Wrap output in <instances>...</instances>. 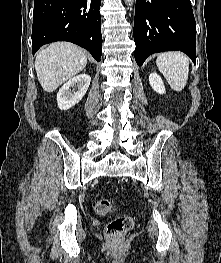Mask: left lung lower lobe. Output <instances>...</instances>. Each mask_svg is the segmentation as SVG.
Here are the masks:
<instances>
[{
	"label": "left lung lower lobe",
	"instance_id": "1",
	"mask_svg": "<svg viewBox=\"0 0 221 263\" xmlns=\"http://www.w3.org/2000/svg\"><path fill=\"white\" fill-rule=\"evenodd\" d=\"M133 34L139 66L153 53L176 50L196 62V22L190 0H136Z\"/></svg>",
	"mask_w": 221,
	"mask_h": 263
}]
</instances>
